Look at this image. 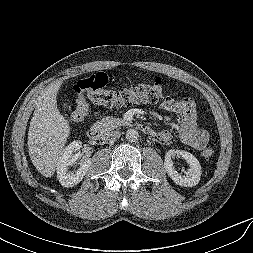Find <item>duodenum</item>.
<instances>
[{"label": "duodenum", "mask_w": 253, "mask_h": 253, "mask_svg": "<svg viewBox=\"0 0 253 253\" xmlns=\"http://www.w3.org/2000/svg\"><path fill=\"white\" fill-rule=\"evenodd\" d=\"M140 130L147 135L154 134L152 128L146 124L140 125ZM101 134V129L97 125H92L87 131V136L90 140H99Z\"/></svg>", "instance_id": "1"}]
</instances>
